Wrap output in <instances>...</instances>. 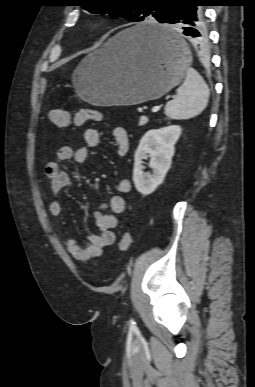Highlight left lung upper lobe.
Returning a JSON list of instances; mask_svg holds the SVG:
<instances>
[{"instance_id": "obj_1", "label": "left lung upper lobe", "mask_w": 255, "mask_h": 387, "mask_svg": "<svg viewBox=\"0 0 255 387\" xmlns=\"http://www.w3.org/2000/svg\"><path fill=\"white\" fill-rule=\"evenodd\" d=\"M181 0H78L79 6L90 13L110 14L130 22L144 21L154 17L160 23L166 19L171 3Z\"/></svg>"}]
</instances>
